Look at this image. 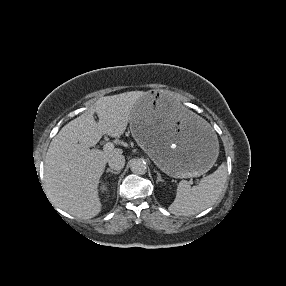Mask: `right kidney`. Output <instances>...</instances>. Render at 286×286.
<instances>
[{"instance_id":"1","label":"right kidney","mask_w":286,"mask_h":286,"mask_svg":"<svg viewBox=\"0 0 286 286\" xmlns=\"http://www.w3.org/2000/svg\"><path fill=\"white\" fill-rule=\"evenodd\" d=\"M107 189V186L104 184L103 186H102V190H106Z\"/></svg>"}]
</instances>
